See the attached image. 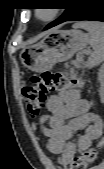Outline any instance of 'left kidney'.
Segmentation results:
<instances>
[{
	"label": "left kidney",
	"instance_id": "left-kidney-1",
	"mask_svg": "<svg viewBox=\"0 0 104 169\" xmlns=\"http://www.w3.org/2000/svg\"><path fill=\"white\" fill-rule=\"evenodd\" d=\"M99 79H100V82H101V87H100V90H99V93H100V97L103 98L104 96V87H103V68L100 69V72H99Z\"/></svg>",
	"mask_w": 104,
	"mask_h": 169
}]
</instances>
